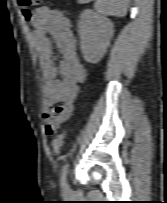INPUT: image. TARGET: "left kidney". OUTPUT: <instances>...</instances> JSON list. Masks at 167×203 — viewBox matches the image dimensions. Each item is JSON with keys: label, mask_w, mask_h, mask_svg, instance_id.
<instances>
[{"label": "left kidney", "mask_w": 167, "mask_h": 203, "mask_svg": "<svg viewBox=\"0 0 167 203\" xmlns=\"http://www.w3.org/2000/svg\"><path fill=\"white\" fill-rule=\"evenodd\" d=\"M113 32V23L106 17L92 10H86L81 14L78 33L81 51L87 62L96 64L101 60Z\"/></svg>", "instance_id": "5707ae66"}]
</instances>
